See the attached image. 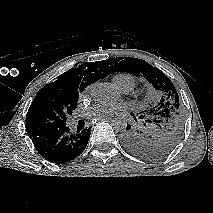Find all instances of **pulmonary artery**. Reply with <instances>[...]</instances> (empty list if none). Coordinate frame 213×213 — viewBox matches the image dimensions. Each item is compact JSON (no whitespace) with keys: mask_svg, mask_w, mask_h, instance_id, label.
<instances>
[{"mask_svg":"<svg viewBox=\"0 0 213 213\" xmlns=\"http://www.w3.org/2000/svg\"><path fill=\"white\" fill-rule=\"evenodd\" d=\"M124 92H128L129 90H123Z\"/></svg>","mask_w":213,"mask_h":213,"instance_id":"obj_1","label":"pulmonary artery"}]
</instances>
